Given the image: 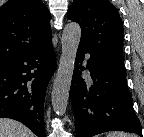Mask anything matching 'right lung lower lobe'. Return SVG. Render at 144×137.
<instances>
[{
    "instance_id": "1",
    "label": "right lung lower lobe",
    "mask_w": 144,
    "mask_h": 137,
    "mask_svg": "<svg viewBox=\"0 0 144 137\" xmlns=\"http://www.w3.org/2000/svg\"><path fill=\"white\" fill-rule=\"evenodd\" d=\"M51 39L0 67V117L18 120L45 137L44 98L55 70Z\"/></svg>"
}]
</instances>
